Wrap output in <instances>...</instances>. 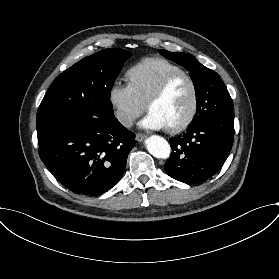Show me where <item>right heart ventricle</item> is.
<instances>
[{"instance_id": "right-heart-ventricle-1", "label": "right heart ventricle", "mask_w": 279, "mask_h": 279, "mask_svg": "<svg viewBox=\"0 0 279 279\" xmlns=\"http://www.w3.org/2000/svg\"><path fill=\"white\" fill-rule=\"evenodd\" d=\"M179 71L184 69L172 61L160 57H148L133 65L127 71V78L139 99L146 102L167 76Z\"/></svg>"}]
</instances>
